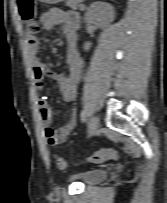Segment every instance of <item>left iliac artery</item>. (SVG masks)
Segmentation results:
<instances>
[{"instance_id":"left-iliac-artery-1","label":"left iliac artery","mask_w":167,"mask_h":203,"mask_svg":"<svg viewBox=\"0 0 167 203\" xmlns=\"http://www.w3.org/2000/svg\"><path fill=\"white\" fill-rule=\"evenodd\" d=\"M80 117H81L82 122H84L86 120V112L84 110L81 112Z\"/></svg>"}]
</instances>
